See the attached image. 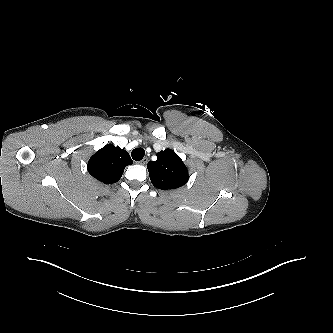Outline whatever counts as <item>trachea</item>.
Wrapping results in <instances>:
<instances>
[{
  "label": "trachea",
  "mask_w": 333,
  "mask_h": 333,
  "mask_svg": "<svg viewBox=\"0 0 333 333\" xmlns=\"http://www.w3.org/2000/svg\"><path fill=\"white\" fill-rule=\"evenodd\" d=\"M144 155H145V150L143 148H135L131 153V156L135 161L142 160Z\"/></svg>",
  "instance_id": "trachea-1"
}]
</instances>
